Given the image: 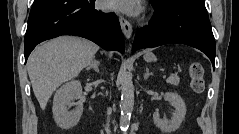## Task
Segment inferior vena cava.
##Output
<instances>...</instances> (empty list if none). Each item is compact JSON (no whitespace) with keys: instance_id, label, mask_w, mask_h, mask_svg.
<instances>
[{"instance_id":"inferior-vena-cava-1","label":"inferior vena cava","mask_w":239,"mask_h":134,"mask_svg":"<svg viewBox=\"0 0 239 134\" xmlns=\"http://www.w3.org/2000/svg\"><path fill=\"white\" fill-rule=\"evenodd\" d=\"M110 114V112H109V110H108V115ZM106 131L107 132H109L110 130H109V128H108V126H107V128H106Z\"/></svg>"}]
</instances>
